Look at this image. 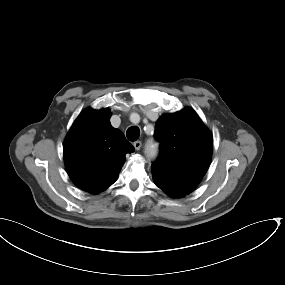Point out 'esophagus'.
<instances>
[{"instance_id":"esophagus-1","label":"esophagus","mask_w":285,"mask_h":285,"mask_svg":"<svg viewBox=\"0 0 285 285\" xmlns=\"http://www.w3.org/2000/svg\"><path fill=\"white\" fill-rule=\"evenodd\" d=\"M133 146L136 150H140L141 146H142V142L141 141H135L133 143Z\"/></svg>"}]
</instances>
